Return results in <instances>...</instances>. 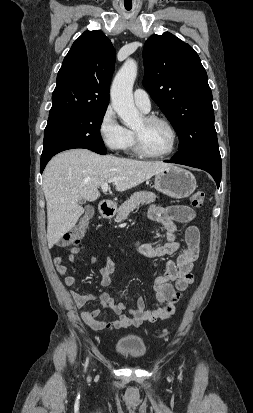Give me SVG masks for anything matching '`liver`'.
<instances>
[{
	"instance_id": "obj_1",
	"label": "liver",
	"mask_w": 253,
	"mask_h": 413,
	"mask_svg": "<svg viewBox=\"0 0 253 413\" xmlns=\"http://www.w3.org/2000/svg\"><path fill=\"white\" fill-rule=\"evenodd\" d=\"M165 162L139 161L87 149H73L54 156L43 173L47 203V242L52 248L84 213L80 199L95 201L99 187L111 179L119 192L138 186L165 168Z\"/></svg>"
}]
</instances>
